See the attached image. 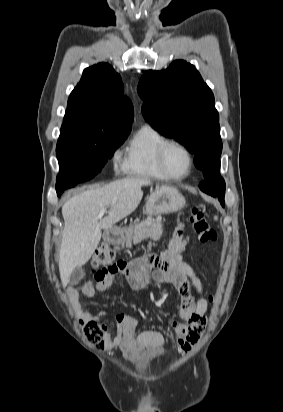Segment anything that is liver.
<instances>
[{
	"instance_id": "liver-1",
	"label": "liver",
	"mask_w": 283,
	"mask_h": 412,
	"mask_svg": "<svg viewBox=\"0 0 283 412\" xmlns=\"http://www.w3.org/2000/svg\"><path fill=\"white\" fill-rule=\"evenodd\" d=\"M146 178H125L102 187L92 188L70 198L62 206L64 230L59 257V271L65 285L74 269L89 261L97 248L102 229L133 213L138 207L143 192L149 185ZM109 208L102 220L99 212Z\"/></svg>"
}]
</instances>
